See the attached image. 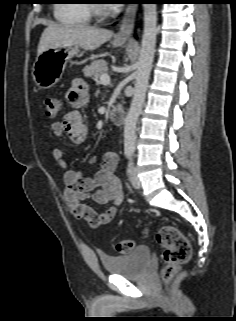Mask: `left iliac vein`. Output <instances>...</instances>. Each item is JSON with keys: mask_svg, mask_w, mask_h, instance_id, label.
Instances as JSON below:
<instances>
[{"mask_svg": "<svg viewBox=\"0 0 236 321\" xmlns=\"http://www.w3.org/2000/svg\"><path fill=\"white\" fill-rule=\"evenodd\" d=\"M130 182L132 184V186L136 189H140L141 188V181L137 175V170L134 166H132L131 168V172H130Z\"/></svg>", "mask_w": 236, "mask_h": 321, "instance_id": "1", "label": "left iliac vein"}]
</instances>
